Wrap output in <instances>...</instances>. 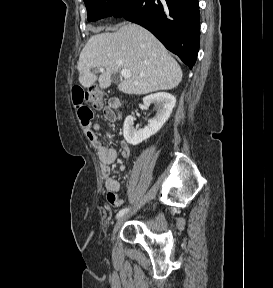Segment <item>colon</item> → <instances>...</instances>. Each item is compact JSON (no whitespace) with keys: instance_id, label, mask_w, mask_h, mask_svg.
I'll return each instance as SVG.
<instances>
[{"instance_id":"5ec220e1","label":"colon","mask_w":273,"mask_h":288,"mask_svg":"<svg viewBox=\"0 0 273 288\" xmlns=\"http://www.w3.org/2000/svg\"><path fill=\"white\" fill-rule=\"evenodd\" d=\"M72 100L82 125L85 128L89 127L93 111L87 103L89 102L94 108H98L101 104L99 96L95 92H87L80 86H74L72 89Z\"/></svg>"}]
</instances>
